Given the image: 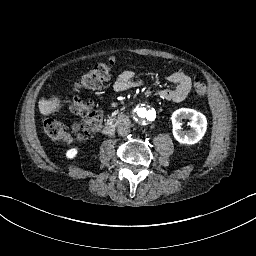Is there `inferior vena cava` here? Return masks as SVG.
I'll return each mask as SVG.
<instances>
[{
	"label": "inferior vena cava",
	"instance_id": "obj_1",
	"mask_svg": "<svg viewBox=\"0 0 256 256\" xmlns=\"http://www.w3.org/2000/svg\"><path fill=\"white\" fill-rule=\"evenodd\" d=\"M117 132L121 136H127L130 133V127L127 125H120L117 128Z\"/></svg>",
	"mask_w": 256,
	"mask_h": 256
}]
</instances>
